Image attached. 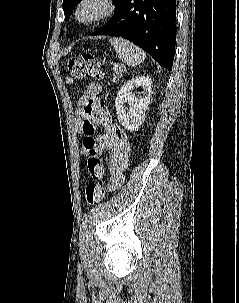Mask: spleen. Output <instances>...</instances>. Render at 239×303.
<instances>
[{
	"label": "spleen",
	"instance_id": "1",
	"mask_svg": "<svg viewBox=\"0 0 239 303\" xmlns=\"http://www.w3.org/2000/svg\"><path fill=\"white\" fill-rule=\"evenodd\" d=\"M118 56L128 66L140 65L146 58L145 52L135 44L123 38H111L109 40Z\"/></svg>",
	"mask_w": 239,
	"mask_h": 303
}]
</instances>
